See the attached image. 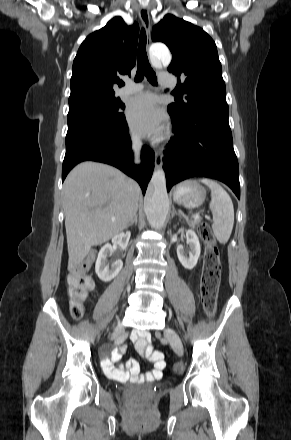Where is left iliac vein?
I'll return each mask as SVG.
<instances>
[{"mask_svg":"<svg viewBox=\"0 0 291 440\" xmlns=\"http://www.w3.org/2000/svg\"><path fill=\"white\" fill-rule=\"evenodd\" d=\"M165 336L167 337L174 351L181 356L183 354V347L179 336L171 329L166 330Z\"/></svg>","mask_w":291,"mask_h":440,"instance_id":"left-iliac-vein-1","label":"left iliac vein"}]
</instances>
